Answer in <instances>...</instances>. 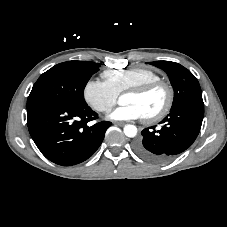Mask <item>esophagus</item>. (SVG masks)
Segmentation results:
<instances>
[{"label":"esophagus","mask_w":227,"mask_h":227,"mask_svg":"<svg viewBox=\"0 0 227 227\" xmlns=\"http://www.w3.org/2000/svg\"><path fill=\"white\" fill-rule=\"evenodd\" d=\"M114 124L117 125V126H124L125 125L124 122H114Z\"/></svg>","instance_id":"34e87169"}]
</instances>
